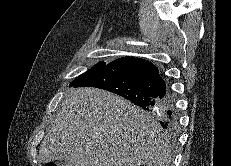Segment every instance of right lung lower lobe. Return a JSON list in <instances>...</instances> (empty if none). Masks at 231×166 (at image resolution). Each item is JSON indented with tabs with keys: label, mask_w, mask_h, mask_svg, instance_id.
Listing matches in <instances>:
<instances>
[{
	"label": "right lung lower lobe",
	"mask_w": 231,
	"mask_h": 166,
	"mask_svg": "<svg viewBox=\"0 0 231 166\" xmlns=\"http://www.w3.org/2000/svg\"><path fill=\"white\" fill-rule=\"evenodd\" d=\"M96 87L116 93L147 111L156 112L169 133L178 129V113L172 92L158 69L142 58L122 57L88 76L75 87Z\"/></svg>",
	"instance_id": "1"
}]
</instances>
